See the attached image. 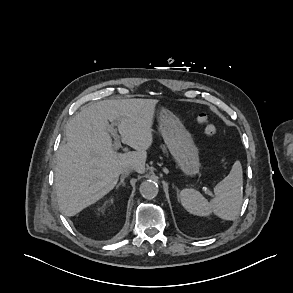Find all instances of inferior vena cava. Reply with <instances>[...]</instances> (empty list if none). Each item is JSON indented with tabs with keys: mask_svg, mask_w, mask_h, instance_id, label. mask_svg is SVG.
Here are the masks:
<instances>
[{
	"mask_svg": "<svg viewBox=\"0 0 293 293\" xmlns=\"http://www.w3.org/2000/svg\"><path fill=\"white\" fill-rule=\"evenodd\" d=\"M134 166L132 165H128V166H125L121 169L120 173L125 175V174H129L132 170H134Z\"/></svg>",
	"mask_w": 293,
	"mask_h": 293,
	"instance_id": "602c4592",
	"label": "inferior vena cava"
}]
</instances>
